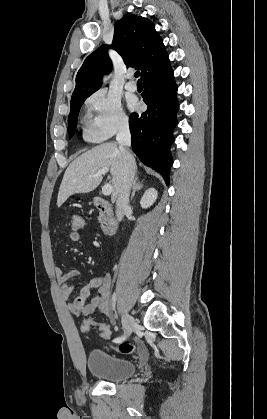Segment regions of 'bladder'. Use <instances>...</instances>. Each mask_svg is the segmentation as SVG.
Listing matches in <instances>:
<instances>
[{"instance_id": "bladder-1", "label": "bladder", "mask_w": 267, "mask_h": 419, "mask_svg": "<svg viewBox=\"0 0 267 419\" xmlns=\"http://www.w3.org/2000/svg\"><path fill=\"white\" fill-rule=\"evenodd\" d=\"M87 368L91 375L108 382L125 380L136 372V365L132 361L97 348L89 352Z\"/></svg>"}]
</instances>
